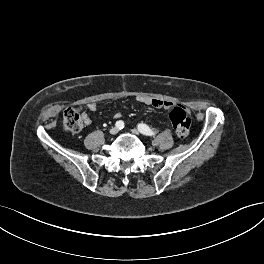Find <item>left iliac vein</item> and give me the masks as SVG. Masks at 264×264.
<instances>
[{"instance_id":"left-iliac-vein-1","label":"left iliac vein","mask_w":264,"mask_h":264,"mask_svg":"<svg viewBox=\"0 0 264 264\" xmlns=\"http://www.w3.org/2000/svg\"><path fill=\"white\" fill-rule=\"evenodd\" d=\"M131 132H132L134 135H140V131L137 130V129H132Z\"/></svg>"}]
</instances>
